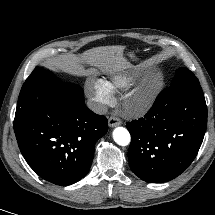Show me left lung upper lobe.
Masks as SVG:
<instances>
[{
  "label": "left lung upper lobe",
  "instance_id": "obj_1",
  "mask_svg": "<svg viewBox=\"0 0 215 215\" xmlns=\"http://www.w3.org/2000/svg\"><path fill=\"white\" fill-rule=\"evenodd\" d=\"M170 87L194 92H203L200 83L193 72L184 67L176 70V74L171 82Z\"/></svg>",
  "mask_w": 215,
  "mask_h": 215
}]
</instances>
